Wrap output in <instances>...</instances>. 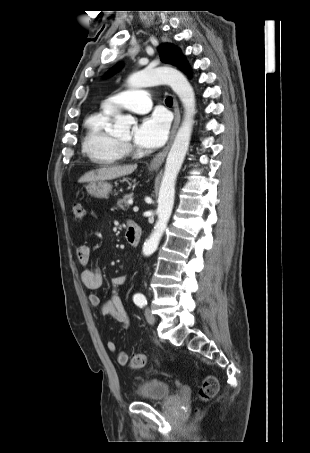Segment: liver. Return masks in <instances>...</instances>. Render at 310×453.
Segmentation results:
<instances>
[{
  "label": "liver",
  "instance_id": "6515ba94",
  "mask_svg": "<svg viewBox=\"0 0 310 453\" xmlns=\"http://www.w3.org/2000/svg\"><path fill=\"white\" fill-rule=\"evenodd\" d=\"M137 164L124 166L102 167L85 173L79 180V183L96 182L112 180L118 177L129 175L136 170Z\"/></svg>",
  "mask_w": 310,
  "mask_h": 453
}]
</instances>
